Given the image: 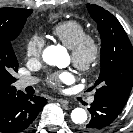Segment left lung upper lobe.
Instances as JSON below:
<instances>
[{"instance_id":"obj_1","label":"left lung upper lobe","mask_w":133,"mask_h":133,"mask_svg":"<svg viewBox=\"0 0 133 133\" xmlns=\"http://www.w3.org/2000/svg\"><path fill=\"white\" fill-rule=\"evenodd\" d=\"M101 35V72L95 82L96 95L125 105L133 85V50L120 22L107 10L87 4Z\"/></svg>"}]
</instances>
